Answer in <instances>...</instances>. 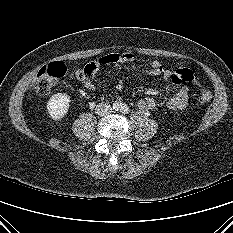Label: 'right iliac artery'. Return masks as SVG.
Returning <instances> with one entry per match:
<instances>
[{"instance_id": "obj_1", "label": "right iliac artery", "mask_w": 233, "mask_h": 233, "mask_svg": "<svg viewBox=\"0 0 233 233\" xmlns=\"http://www.w3.org/2000/svg\"><path fill=\"white\" fill-rule=\"evenodd\" d=\"M115 110H119V108H120V105L117 103V104H115L114 105V107H113Z\"/></svg>"}]
</instances>
